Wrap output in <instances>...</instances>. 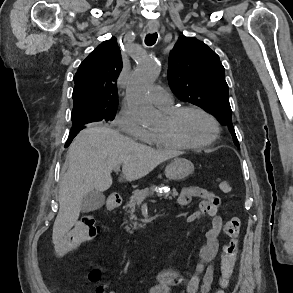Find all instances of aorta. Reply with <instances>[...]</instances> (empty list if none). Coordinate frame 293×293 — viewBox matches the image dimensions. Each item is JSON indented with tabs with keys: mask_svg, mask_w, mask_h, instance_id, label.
I'll return each instance as SVG.
<instances>
[{
	"mask_svg": "<svg viewBox=\"0 0 293 293\" xmlns=\"http://www.w3.org/2000/svg\"><path fill=\"white\" fill-rule=\"evenodd\" d=\"M159 69L157 59L146 56L139 61L127 85L129 107L138 121L147 126L157 122V116L147 94L158 77Z\"/></svg>",
	"mask_w": 293,
	"mask_h": 293,
	"instance_id": "aorta-1",
	"label": "aorta"
}]
</instances>
